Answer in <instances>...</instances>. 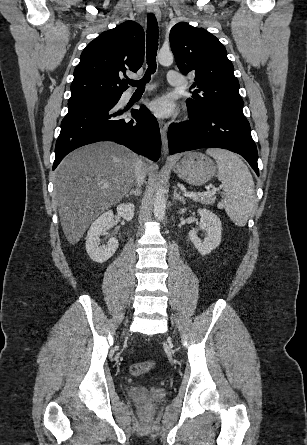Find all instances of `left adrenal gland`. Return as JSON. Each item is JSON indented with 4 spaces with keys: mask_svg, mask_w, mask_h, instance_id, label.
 <instances>
[{
    "mask_svg": "<svg viewBox=\"0 0 307 445\" xmlns=\"http://www.w3.org/2000/svg\"><path fill=\"white\" fill-rule=\"evenodd\" d=\"M173 188H174V194H173L174 200H180V202H183V204H185V202H186L185 196H182V194H180V192H177V190H178L177 186H173Z\"/></svg>",
    "mask_w": 307,
    "mask_h": 445,
    "instance_id": "obj_1",
    "label": "left adrenal gland"
}]
</instances>
